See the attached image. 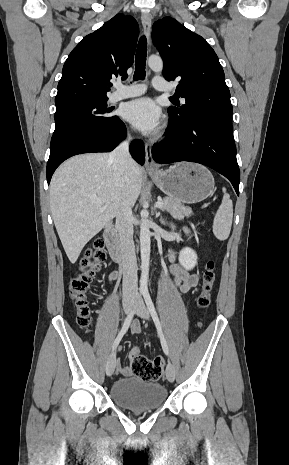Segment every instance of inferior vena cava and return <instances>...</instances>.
<instances>
[{"mask_svg": "<svg viewBox=\"0 0 289 465\" xmlns=\"http://www.w3.org/2000/svg\"><path fill=\"white\" fill-rule=\"evenodd\" d=\"M131 137L121 142L110 154L109 162L118 173H124L131 160L129 142ZM116 228L121 241L123 264V300H133L138 295L137 259L133 241V215L128 203H123L116 215Z\"/></svg>", "mask_w": 289, "mask_h": 465, "instance_id": "602c4592", "label": "inferior vena cava"}]
</instances>
